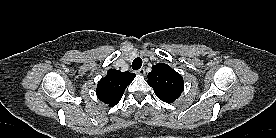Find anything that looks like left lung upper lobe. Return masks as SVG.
Returning <instances> with one entry per match:
<instances>
[{"mask_svg":"<svg viewBox=\"0 0 276 138\" xmlns=\"http://www.w3.org/2000/svg\"><path fill=\"white\" fill-rule=\"evenodd\" d=\"M147 77L156 96L166 103L174 102L184 89L182 76L165 63L154 65Z\"/></svg>","mask_w":276,"mask_h":138,"instance_id":"5c2ea615","label":"left lung upper lobe"}]
</instances>
